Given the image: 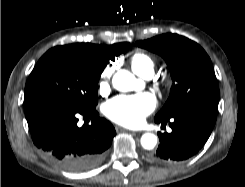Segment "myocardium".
Masks as SVG:
<instances>
[{"mask_svg": "<svg viewBox=\"0 0 245 187\" xmlns=\"http://www.w3.org/2000/svg\"><path fill=\"white\" fill-rule=\"evenodd\" d=\"M164 84H167V81H164Z\"/></svg>", "mask_w": 245, "mask_h": 187, "instance_id": "obj_1", "label": "myocardium"}]
</instances>
